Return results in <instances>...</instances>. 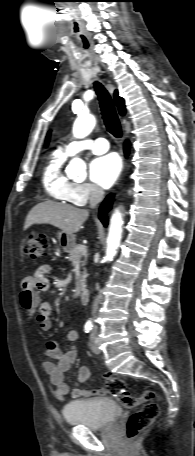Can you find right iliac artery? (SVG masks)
Returning <instances> with one entry per match:
<instances>
[{"label":"right iliac artery","mask_w":195,"mask_h":456,"mask_svg":"<svg viewBox=\"0 0 195 456\" xmlns=\"http://www.w3.org/2000/svg\"><path fill=\"white\" fill-rule=\"evenodd\" d=\"M93 325H92V322L89 320L86 322L85 326H84V330L86 333L90 332V330L92 329Z\"/></svg>","instance_id":"82829eb1"}]
</instances>
